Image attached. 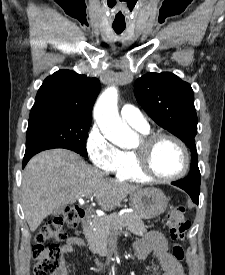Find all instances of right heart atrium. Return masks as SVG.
I'll list each match as a JSON object with an SVG mask.
<instances>
[{"mask_svg":"<svg viewBox=\"0 0 225 275\" xmlns=\"http://www.w3.org/2000/svg\"><path fill=\"white\" fill-rule=\"evenodd\" d=\"M86 149L93 165L104 172H113L120 163L122 151L96 126L88 135Z\"/></svg>","mask_w":225,"mask_h":275,"instance_id":"right-heart-atrium-1","label":"right heart atrium"}]
</instances>
